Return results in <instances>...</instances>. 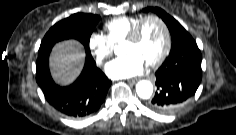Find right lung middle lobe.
<instances>
[{"mask_svg": "<svg viewBox=\"0 0 236 135\" xmlns=\"http://www.w3.org/2000/svg\"><path fill=\"white\" fill-rule=\"evenodd\" d=\"M99 19L98 15L77 13L57 22L44 36L39 55L50 52L55 43L71 38L80 41L90 53V36Z\"/></svg>", "mask_w": 236, "mask_h": 135, "instance_id": "right-lung-middle-lobe-1", "label": "right lung middle lobe"}]
</instances>
